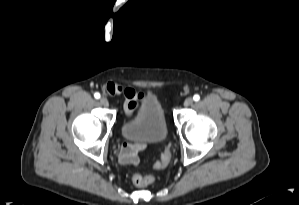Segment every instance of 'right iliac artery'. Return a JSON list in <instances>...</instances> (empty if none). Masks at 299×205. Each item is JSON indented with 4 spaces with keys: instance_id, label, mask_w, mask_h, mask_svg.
I'll list each match as a JSON object with an SVG mask.
<instances>
[{
    "instance_id": "1",
    "label": "right iliac artery",
    "mask_w": 299,
    "mask_h": 205,
    "mask_svg": "<svg viewBox=\"0 0 299 205\" xmlns=\"http://www.w3.org/2000/svg\"><path fill=\"white\" fill-rule=\"evenodd\" d=\"M94 97H95L96 99H99V98H100V94H99L98 92H96V93L94 94Z\"/></svg>"
}]
</instances>
